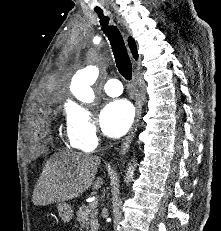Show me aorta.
<instances>
[{
  "label": "aorta",
  "mask_w": 221,
  "mask_h": 231,
  "mask_svg": "<svg viewBox=\"0 0 221 231\" xmlns=\"http://www.w3.org/2000/svg\"><path fill=\"white\" fill-rule=\"evenodd\" d=\"M99 70L96 66H88L78 71L71 81L70 90L73 95L84 103H92L95 95L91 86L96 82ZM134 172L133 167H129L128 179L132 178Z\"/></svg>",
  "instance_id": "1"
}]
</instances>
